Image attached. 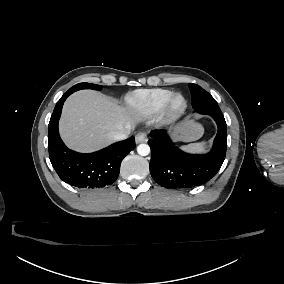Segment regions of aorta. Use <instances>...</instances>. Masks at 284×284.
Wrapping results in <instances>:
<instances>
[{
	"label": "aorta",
	"mask_w": 284,
	"mask_h": 284,
	"mask_svg": "<svg viewBox=\"0 0 284 284\" xmlns=\"http://www.w3.org/2000/svg\"><path fill=\"white\" fill-rule=\"evenodd\" d=\"M137 152L141 156H147L150 153V147L148 144H139L137 147Z\"/></svg>",
	"instance_id": "obj_1"
}]
</instances>
